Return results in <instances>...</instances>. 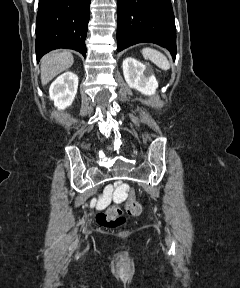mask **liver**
Wrapping results in <instances>:
<instances>
[{"label": "liver", "mask_w": 240, "mask_h": 288, "mask_svg": "<svg viewBox=\"0 0 240 288\" xmlns=\"http://www.w3.org/2000/svg\"><path fill=\"white\" fill-rule=\"evenodd\" d=\"M74 63L70 51H52L41 59V83L46 85L54 77L69 69Z\"/></svg>", "instance_id": "6515ba94"}]
</instances>
